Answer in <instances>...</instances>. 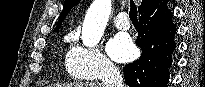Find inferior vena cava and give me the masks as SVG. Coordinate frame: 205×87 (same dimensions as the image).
I'll use <instances>...</instances> for the list:
<instances>
[{
    "instance_id": "inferior-vena-cava-1",
    "label": "inferior vena cava",
    "mask_w": 205,
    "mask_h": 87,
    "mask_svg": "<svg viewBox=\"0 0 205 87\" xmlns=\"http://www.w3.org/2000/svg\"><path fill=\"white\" fill-rule=\"evenodd\" d=\"M102 80L105 87H123L122 75L113 64L106 65Z\"/></svg>"
}]
</instances>
